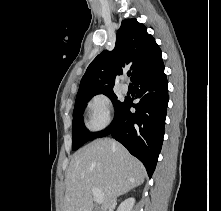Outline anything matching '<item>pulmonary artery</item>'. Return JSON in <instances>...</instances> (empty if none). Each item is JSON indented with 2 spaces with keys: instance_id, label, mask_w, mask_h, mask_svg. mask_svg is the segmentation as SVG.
<instances>
[{
  "instance_id": "1",
  "label": "pulmonary artery",
  "mask_w": 221,
  "mask_h": 211,
  "mask_svg": "<svg viewBox=\"0 0 221 211\" xmlns=\"http://www.w3.org/2000/svg\"><path fill=\"white\" fill-rule=\"evenodd\" d=\"M128 89H129L128 84L125 83V82H123L122 85H121V90H122L123 92H127Z\"/></svg>"
}]
</instances>
